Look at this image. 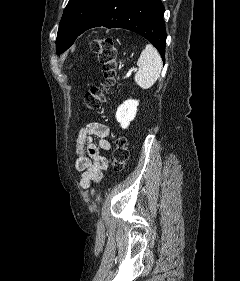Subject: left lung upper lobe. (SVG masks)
<instances>
[{
    "label": "left lung upper lobe",
    "instance_id": "left-lung-upper-lobe-1",
    "mask_svg": "<svg viewBox=\"0 0 240 281\" xmlns=\"http://www.w3.org/2000/svg\"><path fill=\"white\" fill-rule=\"evenodd\" d=\"M103 0H69L59 24L56 53L66 51Z\"/></svg>",
    "mask_w": 240,
    "mask_h": 281
}]
</instances>
